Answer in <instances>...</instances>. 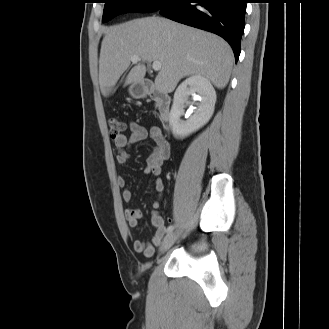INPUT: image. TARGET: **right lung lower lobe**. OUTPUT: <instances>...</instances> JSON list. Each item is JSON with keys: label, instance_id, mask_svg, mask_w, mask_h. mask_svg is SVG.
<instances>
[{"label": "right lung lower lobe", "instance_id": "right-lung-lower-lobe-1", "mask_svg": "<svg viewBox=\"0 0 329 329\" xmlns=\"http://www.w3.org/2000/svg\"><path fill=\"white\" fill-rule=\"evenodd\" d=\"M247 0H171L163 8L165 17L215 33L232 47L237 61L245 27Z\"/></svg>", "mask_w": 329, "mask_h": 329}]
</instances>
